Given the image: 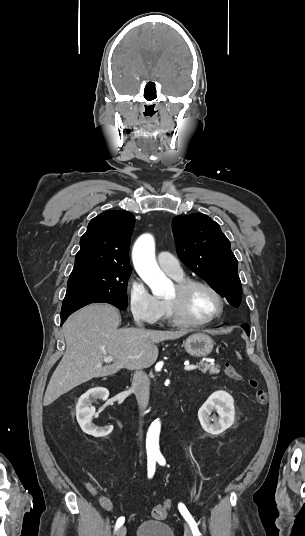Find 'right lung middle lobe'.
<instances>
[{
	"mask_svg": "<svg viewBox=\"0 0 305 536\" xmlns=\"http://www.w3.org/2000/svg\"><path fill=\"white\" fill-rule=\"evenodd\" d=\"M131 272H100L70 277L63 306L106 302L125 309Z\"/></svg>",
	"mask_w": 305,
	"mask_h": 536,
	"instance_id": "right-lung-middle-lobe-1",
	"label": "right lung middle lobe"
}]
</instances>
